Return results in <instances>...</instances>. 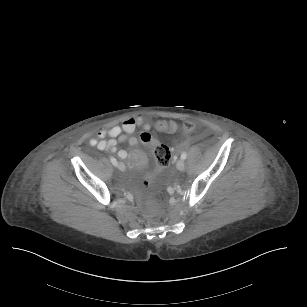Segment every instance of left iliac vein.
<instances>
[{
  "instance_id": "1",
  "label": "left iliac vein",
  "mask_w": 307,
  "mask_h": 307,
  "mask_svg": "<svg viewBox=\"0 0 307 307\" xmlns=\"http://www.w3.org/2000/svg\"><path fill=\"white\" fill-rule=\"evenodd\" d=\"M176 167L180 171H183L185 169V161L183 159L178 160L177 164H176Z\"/></svg>"
}]
</instances>
